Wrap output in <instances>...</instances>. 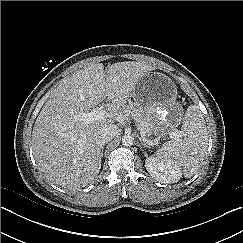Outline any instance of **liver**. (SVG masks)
<instances>
[{"label": "liver", "mask_w": 243, "mask_h": 243, "mask_svg": "<svg viewBox=\"0 0 243 243\" xmlns=\"http://www.w3.org/2000/svg\"><path fill=\"white\" fill-rule=\"evenodd\" d=\"M155 67L125 61L93 63L64 78L51 92L32 131L34 157L55 184L74 190L91 183L101 169L102 128L119 120L139 80ZM107 117L89 124L79 115L105 99Z\"/></svg>", "instance_id": "6515ba94"}]
</instances>
